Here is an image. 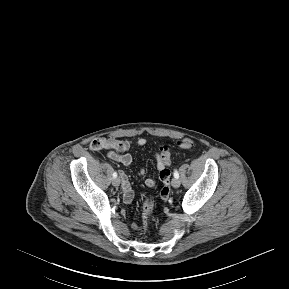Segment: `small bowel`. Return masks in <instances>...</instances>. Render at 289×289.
Listing matches in <instances>:
<instances>
[{"mask_svg": "<svg viewBox=\"0 0 289 289\" xmlns=\"http://www.w3.org/2000/svg\"><path fill=\"white\" fill-rule=\"evenodd\" d=\"M147 140L145 138H139L136 142L138 146H145ZM132 142L129 140H122L117 138H104L99 137L94 139L90 143V148L92 150H106L108 153V157L116 162L123 164L124 166H129L132 163V156L129 153L131 148ZM155 158L157 161V166L159 170V181L163 182L162 190L160 191V198L165 202L170 198V192L172 187L171 182V172L165 166L160 165V157L159 151L155 153ZM141 175L144 174V169H141L139 172ZM121 180H122V190H123V201L126 204L132 202L134 198V193L131 188L128 176L121 171ZM156 180L154 178H149L146 180V185L148 187H154L156 185ZM132 228L134 230H140V228L133 224Z\"/></svg>", "mask_w": 289, "mask_h": 289, "instance_id": "c3829d8e", "label": "small bowel"}]
</instances>
